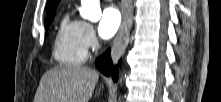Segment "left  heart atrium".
I'll list each match as a JSON object with an SVG mask.
<instances>
[{
    "instance_id": "obj_1",
    "label": "left heart atrium",
    "mask_w": 221,
    "mask_h": 102,
    "mask_svg": "<svg viewBox=\"0 0 221 102\" xmlns=\"http://www.w3.org/2000/svg\"><path fill=\"white\" fill-rule=\"evenodd\" d=\"M122 16L115 6L104 9L98 26V31L103 39L112 37L121 27Z\"/></svg>"
}]
</instances>
